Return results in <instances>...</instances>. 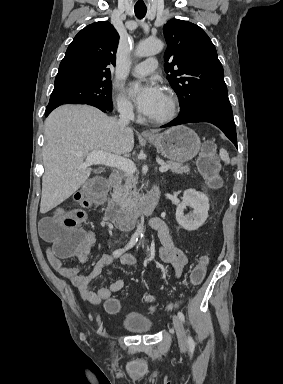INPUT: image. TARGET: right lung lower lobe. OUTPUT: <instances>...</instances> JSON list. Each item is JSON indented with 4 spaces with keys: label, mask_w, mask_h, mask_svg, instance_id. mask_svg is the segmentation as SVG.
<instances>
[{
    "label": "right lung lower lobe",
    "mask_w": 283,
    "mask_h": 384,
    "mask_svg": "<svg viewBox=\"0 0 283 384\" xmlns=\"http://www.w3.org/2000/svg\"><path fill=\"white\" fill-rule=\"evenodd\" d=\"M89 105L95 106L100 110H102L103 112L111 111L113 107L112 103L111 104H89ZM54 109L55 107H47L45 111V116L47 117Z\"/></svg>",
    "instance_id": "1"
}]
</instances>
